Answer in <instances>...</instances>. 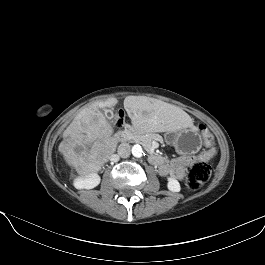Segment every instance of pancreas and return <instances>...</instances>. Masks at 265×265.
Wrapping results in <instances>:
<instances>
[{
    "label": "pancreas",
    "instance_id": "1",
    "mask_svg": "<svg viewBox=\"0 0 265 265\" xmlns=\"http://www.w3.org/2000/svg\"><path fill=\"white\" fill-rule=\"evenodd\" d=\"M126 138L128 141H133L142 144L147 150L151 149L152 141H160L163 139L156 134H144L142 132H127Z\"/></svg>",
    "mask_w": 265,
    "mask_h": 265
}]
</instances>
